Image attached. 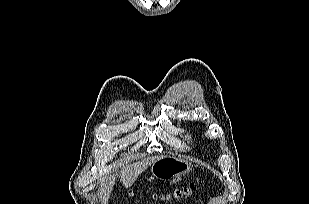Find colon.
<instances>
[{"label": "colon", "instance_id": "5ec220e1", "mask_svg": "<svg viewBox=\"0 0 309 204\" xmlns=\"http://www.w3.org/2000/svg\"><path fill=\"white\" fill-rule=\"evenodd\" d=\"M198 188L197 182H192L185 187L177 189L174 193L167 196H160L162 199H181L193 195Z\"/></svg>", "mask_w": 309, "mask_h": 204}]
</instances>
